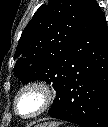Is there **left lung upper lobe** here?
<instances>
[{
    "label": "left lung upper lobe",
    "instance_id": "left-lung-upper-lobe-1",
    "mask_svg": "<svg viewBox=\"0 0 108 127\" xmlns=\"http://www.w3.org/2000/svg\"><path fill=\"white\" fill-rule=\"evenodd\" d=\"M89 0H51L42 5L24 29L16 49L14 72L23 82L63 80L64 62L77 37Z\"/></svg>",
    "mask_w": 108,
    "mask_h": 127
}]
</instances>
